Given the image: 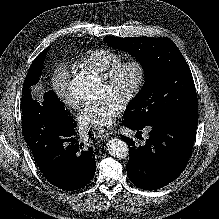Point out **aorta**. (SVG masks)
<instances>
[{
    "mask_svg": "<svg viewBox=\"0 0 219 219\" xmlns=\"http://www.w3.org/2000/svg\"><path fill=\"white\" fill-rule=\"evenodd\" d=\"M70 89L75 99L85 101L95 97L96 84L90 78L76 77L72 80ZM107 151L111 156L119 159H123L129 154L126 142L118 138L110 139L107 142Z\"/></svg>",
    "mask_w": 219,
    "mask_h": 219,
    "instance_id": "1",
    "label": "aorta"
}]
</instances>
